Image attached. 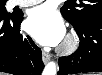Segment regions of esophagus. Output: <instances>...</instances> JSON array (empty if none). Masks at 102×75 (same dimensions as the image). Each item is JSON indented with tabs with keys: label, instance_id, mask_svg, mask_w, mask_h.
<instances>
[{
	"label": "esophagus",
	"instance_id": "obj_1",
	"mask_svg": "<svg viewBox=\"0 0 102 75\" xmlns=\"http://www.w3.org/2000/svg\"><path fill=\"white\" fill-rule=\"evenodd\" d=\"M51 58V55L48 52H43L42 54V60L44 63H47Z\"/></svg>",
	"mask_w": 102,
	"mask_h": 75
}]
</instances>
